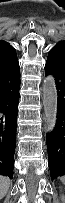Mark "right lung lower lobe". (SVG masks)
<instances>
[{
  "label": "right lung lower lobe",
  "mask_w": 65,
  "mask_h": 203,
  "mask_svg": "<svg viewBox=\"0 0 65 203\" xmlns=\"http://www.w3.org/2000/svg\"><path fill=\"white\" fill-rule=\"evenodd\" d=\"M19 88V68L0 72V175L10 178H13Z\"/></svg>",
  "instance_id": "right-lung-lower-lobe-1"
}]
</instances>
